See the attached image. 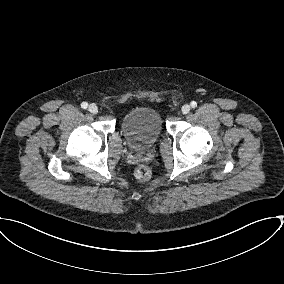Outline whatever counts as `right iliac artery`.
Segmentation results:
<instances>
[{
  "label": "right iliac artery",
  "mask_w": 284,
  "mask_h": 284,
  "mask_svg": "<svg viewBox=\"0 0 284 284\" xmlns=\"http://www.w3.org/2000/svg\"><path fill=\"white\" fill-rule=\"evenodd\" d=\"M81 107H82L83 109H86V108L88 107V103H87V102H83V103L81 104Z\"/></svg>",
  "instance_id": "right-iliac-artery-1"
}]
</instances>
